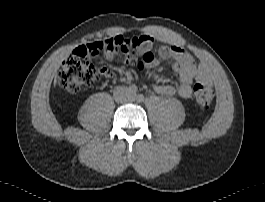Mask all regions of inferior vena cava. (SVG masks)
Returning a JSON list of instances; mask_svg holds the SVG:
<instances>
[{
  "label": "inferior vena cava",
  "mask_w": 265,
  "mask_h": 202,
  "mask_svg": "<svg viewBox=\"0 0 265 202\" xmlns=\"http://www.w3.org/2000/svg\"><path fill=\"white\" fill-rule=\"evenodd\" d=\"M113 96L116 102L124 103L129 100L130 93L126 87H117Z\"/></svg>",
  "instance_id": "602c4592"
}]
</instances>
